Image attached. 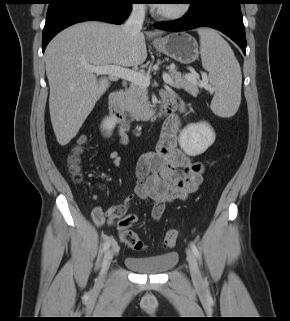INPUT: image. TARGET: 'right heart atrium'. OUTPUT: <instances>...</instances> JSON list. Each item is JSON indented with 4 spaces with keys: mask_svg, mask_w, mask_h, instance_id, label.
Wrapping results in <instances>:
<instances>
[{
    "mask_svg": "<svg viewBox=\"0 0 290 321\" xmlns=\"http://www.w3.org/2000/svg\"><path fill=\"white\" fill-rule=\"evenodd\" d=\"M132 8H133V11H135L136 13H143L145 10L144 4L141 0H136Z\"/></svg>",
    "mask_w": 290,
    "mask_h": 321,
    "instance_id": "right-heart-atrium-1",
    "label": "right heart atrium"
}]
</instances>
